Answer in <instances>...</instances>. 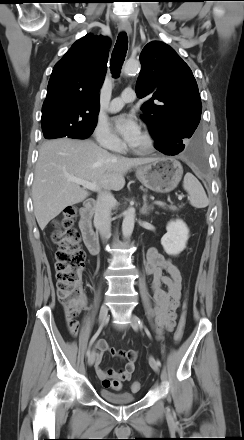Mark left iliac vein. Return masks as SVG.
Here are the masks:
<instances>
[{
    "label": "left iliac vein",
    "mask_w": 244,
    "mask_h": 440,
    "mask_svg": "<svg viewBox=\"0 0 244 440\" xmlns=\"http://www.w3.org/2000/svg\"><path fill=\"white\" fill-rule=\"evenodd\" d=\"M130 321H131V326H132V328H133L135 331H137V330L140 328L139 318H138L135 314H132V315H131V318H130ZM149 364H150L151 368H152L155 372H159V367H158V365L156 364V361H155V359H154L152 356L149 358Z\"/></svg>",
    "instance_id": "1"
}]
</instances>
